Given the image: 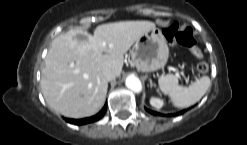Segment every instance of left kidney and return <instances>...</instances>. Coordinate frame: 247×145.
<instances>
[{"instance_id": "left-kidney-1", "label": "left kidney", "mask_w": 247, "mask_h": 145, "mask_svg": "<svg viewBox=\"0 0 247 145\" xmlns=\"http://www.w3.org/2000/svg\"><path fill=\"white\" fill-rule=\"evenodd\" d=\"M150 104L156 108V109H160L163 105H164V101L159 99V98H155V97H152L150 99Z\"/></svg>"}]
</instances>
